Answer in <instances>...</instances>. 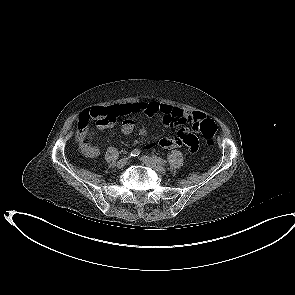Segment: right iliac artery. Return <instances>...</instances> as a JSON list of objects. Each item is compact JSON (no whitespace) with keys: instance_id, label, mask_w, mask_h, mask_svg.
I'll list each match as a JSON object with an SVG mask.
<instances>
[{"instance_id":"1","label":"right iliac artery","mask_w":295,"mask_h":295,"mask_svg":"<svg viewBox=\"0 0 295 295\" xmlns=\"http://www.w3.org/2000/svg\"><path fill=\"white\" fill-rule=\"evenodd\" d=\"M140 155V150L139 149H134L131 153H130V157H137Z\"/></svg>"}]
</instances>
